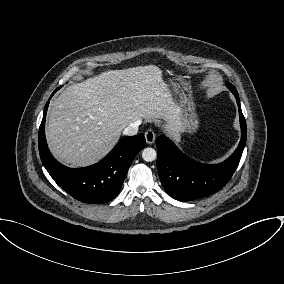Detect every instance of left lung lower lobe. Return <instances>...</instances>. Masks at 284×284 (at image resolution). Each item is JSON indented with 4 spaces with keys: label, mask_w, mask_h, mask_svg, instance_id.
I'll list each match as a JSON object with an SVG mask.
<instances>
[{
    "label": "left lung lower lobe",
    "mask_w": 284,
    "mask_h": 284,
    "mask_svg": "<svg viewBox=\"0 0 284 284\" xmlns=\"http://www.w3.org/2000/svg\"><path fill=\"white\" fill-rule=\"evenodd\" d=\"M240 116L241 140L235 152L219 164H202L184 155L164 135L156 141L157 169L165 191L179 201H190L221 190L234 174L246 143V122L238 95H234Z\"/></svg>",
    "instance_id": "left-lung-lower-lobe-1"
}]
</instances>
